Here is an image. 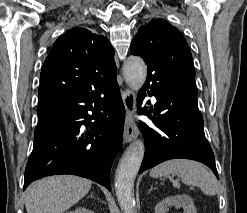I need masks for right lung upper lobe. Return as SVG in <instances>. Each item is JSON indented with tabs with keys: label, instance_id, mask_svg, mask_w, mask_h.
<instances>
[{
	"label": "right lung upper lobe",
	"instance_id": "1",
	"mask_svg": "<svg viewBox=\"0 0 247 213\" xmlns=\"http://www.w3.org/2000/svg\"><path fill=\"white\" fill-rule=\"evenodd\" d=\"M116 73L109 40L86 28H72L56 40L44 62L39 103L63 92L92 89Z\"/></svg>",
	"mask_w": 247,
	"mask_h": 213
}]
</instances>
